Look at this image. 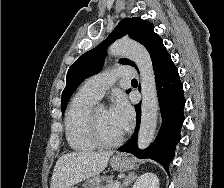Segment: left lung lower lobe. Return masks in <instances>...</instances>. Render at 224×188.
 <instances>
[{"label":"left lung lower lobe","instance_id":"left-lung-lower-lobe-1","mask_svg":"<svg viewBox=\"0 0 224 188\" xmlns=\"http://www.w3.org/2000/svg\"><path fill=\"white\" fill-rule=\"evenodd\" d=\"M157 94L162 114V126L155 141L146 149L137 147V135L140 126V104L135 106L137 125L133 137L119 151L128 152L139 158H151L164 166L174 158L176 144L180 141V129L184 121V91L176 66L168 55L154 68ZM140 90V87H139Z\"/></svg>","mask_w":224,"mask_h":188}]
</instances>
